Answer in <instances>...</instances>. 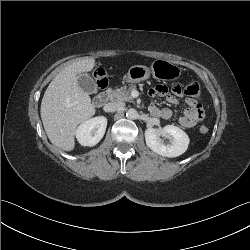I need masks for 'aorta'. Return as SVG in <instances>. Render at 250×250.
Returning a JSON list of instances; mask_svg holds the SVG:
<instances>
[{"label":"aorta","mask_w":250,"mask_h":250,"mask_svg":"<svg viewBox=\"0 0 250 250\" xmlns=\"http://www.w3.org/2000/svg\"><path fill=\"white\" fill-rule=\"evenodd\" d=\"M126 117L128 119H136L138 117V113H137V111L135 109L130 108L126 112Z\"/></svg>","instance_id":"aorta-1"}]
</instances>
